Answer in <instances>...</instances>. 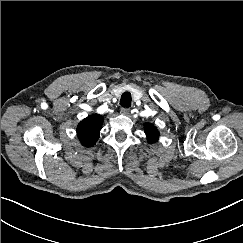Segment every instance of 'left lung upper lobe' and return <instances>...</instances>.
<instances>
[{
	"instance_id": "1",
	"label": "left lung upper lobe",
	"mask_w": 243,
	"mask_h": 243,
	"mask_svg": "<svg viewBox=\"0 0 243 243\" xmlns=\"http://www.w3.org/2000/svg\"><path fill=\"white\" fill-rule=\"evenodd\" d=\"M144 128H145V134L147 136V140L151 143H155L159 137V131L157 130V128L149 123H146L144 125Z\"/></svg>"
}]
</instances>
